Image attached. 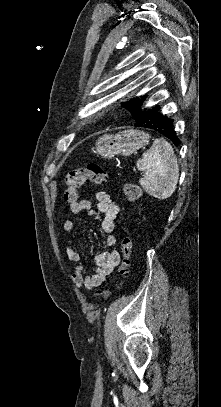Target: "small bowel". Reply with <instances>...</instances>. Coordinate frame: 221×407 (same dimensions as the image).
Listing matches in <instances>:
<instances>
[{"mask_svg": "<svg viewBox=\"0 0 221 407\" xmlns=\"http://www.w3.org/2000/svg\"><path fill=\"white\" fill-rule=\"evenodd\" d=\"M96 200L95 208L88 200H80L78 203L70 205V211L75 216H80L84 212L95 218L103 216L102 229L107 233L106 244L109 247L108 251L95 258L96 271L92 275H85L81 255L74 246V240L68 239L65 242L67 257L74 264L72 282L78 288L91 289L102 284L112 273L119 259V254L115 249L116 236L113 234L119 206L103 191L96 193ZM63 229L68 233H74L77 227L73 220L67 219L63 223Z\"/></svg>", "mask_w": 221, "mask_h": 407, "instance_id": "obj_1", "label": "small bowel"}]
</instances>
